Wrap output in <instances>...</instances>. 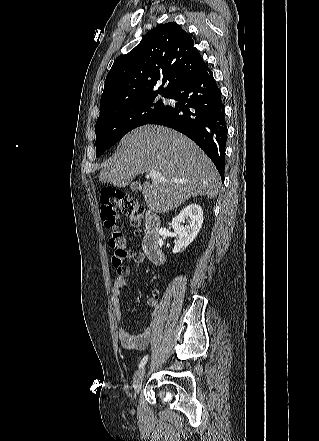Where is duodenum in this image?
<instances>
[{
  "label": "duodenum",
  "mask_w": 319,
  "mask_h": 441,
  "mask_svg": "<svg viewBox=\"0 0 319 441\" xmlns=\"http://www.w3.org/2000/svg\"><path fill=\"white\" fill-rule=\"evenodd\" d=\"M160 228L159 216L152 211H147L145 214L143 249L147 258L154 264H161L164 261V254L160 247Z\"/></svg>",
  "instance_id": "1"
}]
</instances>
